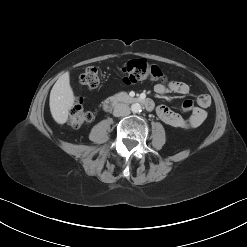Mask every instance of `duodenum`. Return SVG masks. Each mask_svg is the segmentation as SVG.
<instances>
[{
  "instance_id": "obj_1",
  "label": "duodenum",
  "mask_w": 247,
  "mask_h": 247,
  "mask_svg": "<svg viewBox=\"0 0 247 247\" xmlns=\"http://www.w3.org/2000/svg\"><path fill=\"white\" fill-rule=\"evenodd\" d=\"M121 102L140 104L148 111H152L154 109V102L151 99L141 97H130L124 94H116L107 98L104 102V109L111 110Z\"/></svg>"
}]
</instances>
